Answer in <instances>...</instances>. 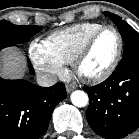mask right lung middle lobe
<instances>
[{
  "label": "right lung middle lobe",
  "mask_w": 139,
  "mask_h": 139,
  "mask_svg": "<svg viewBox=\"0 0 139 139\" xmlns=\"http://www.w3.org/2000/svg\"><path fill=\"white\" fill-rule=\"evenodd\" d=\"M42 28L40 26L14 25L6 20L0 21V44H22Z\"/></svg>",
  "instance_id": "right-lung-middle-lobe-1"
}]
</instances>
